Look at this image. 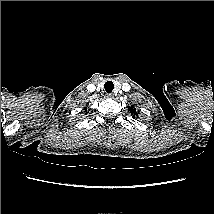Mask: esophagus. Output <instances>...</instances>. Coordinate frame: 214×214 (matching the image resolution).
Instances as JSON below:
<instances>
[{
  "mask_svg": "<svg viewBox=\"0 0 214 214\" xmlns=\"http://www.w3.org/2000/svg\"><path fill=\"white\" fill-rule=\"evenodd\" d=\"M106 97H107V98H113L114 96H113L112 93H107V94H106Z\"/></svg>",
  "mask_w": 214,
  "mask_h": 214,
  "instance_id": "obj_1",
  "label": "esophagus"
}]
</instances>
